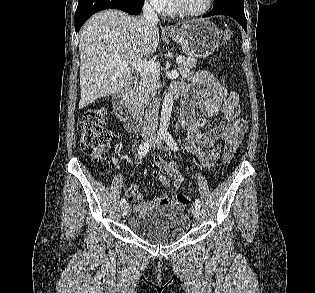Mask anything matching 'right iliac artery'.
I'll list each match as a JSON object with an SVG mask.
<instances>
[{"mask_svg":"<svg viewBox=\"0 0 315 293\" xmlns=\"http://www.w3.org/2000/svg\"><path fill=\"white\" fill-rule=\"evenodd\" d=\"M161 137V134L159 133L157 135V138H160ZM154 142V139L153 141L150 140L149 142H143L140 146H139V149H138V155L140 158L146 156V154L149 152V149L152 145V143ZM126 203V199L125 198H122L121 201H120V204L123 205Z\"/></svg>","mask_w":315,"mask_h":293,"instance_id":"82829eb1","label":"right iliac artery"}]
</instances>
